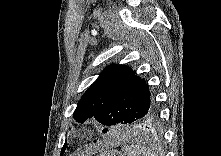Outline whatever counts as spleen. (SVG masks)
Masks as SVG:
<instances>
[{
    "mask_svg": "<svg viewBox=\"0 0 221 156\" xmlns=\"http://www.w3.org/2000/svg\"><path fill=\"white\" fill-rule=\"evenodd\" d=\"M125 156H156L155 152L142 145H131L123 148Z\"/></svg>",
    "mask_w": 221,
    "mask_h": 156,
    "instance_id": "obj_1",
    "label": "spleen"
}]
</instances>
